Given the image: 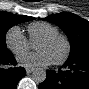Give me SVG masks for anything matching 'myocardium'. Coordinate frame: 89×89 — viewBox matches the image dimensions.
Returning <instances> with one entry per match:
<instances>
[{"label": "myocardium", "instance_id": "myocardium-1", "mask_svg": "<svg viewBox=\"0 0 89 89\" xmlns=\"http://www.w3.org/2000/svg\"><path fill=\"white\" fill-rule=\"evenodd\" d=\"M58 38H60L64 41L66 48H65L64 54L60 58H58L52 62L55 65L64 64L68 60V58L70 57L72 45H71L69 38L64 34L57 32V33L43 36L37 41V42H41V41L42 42H51V41L58 39Z\"/></svg>", "mask_w": 89, "mask_h": 89}]
</instances>
